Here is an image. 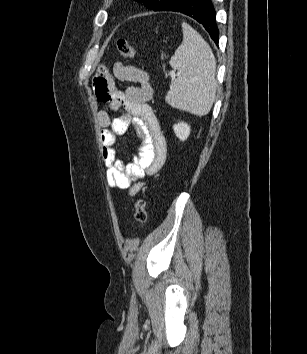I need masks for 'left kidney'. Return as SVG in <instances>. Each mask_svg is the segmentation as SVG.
I'll use <instances>...</instances> for the list:
<instances>
[{
	"instance_id": "obj_1",
	"label": "left kidney",
	"mask_w": 307,
	"mask_h": 354,
	"mask_svg": "<svg viewBox=\"0 0 307 354\" xmlns=\"http://www.w3.org/2000/svg\"><path fill=\"white\" fill-rule=\"evenodd\" d=\"M176 136L181 140L185 141L190 135V126L185 122H179L173 126Z\"/></svg>"
}]
</instances>
